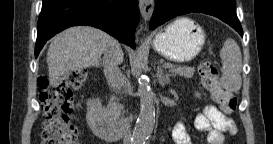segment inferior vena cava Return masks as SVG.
<instances>
[{"label":"inferior vena cava","instance_id":"602c4592","mask_svg":"<svg viewBox=\"0 0 273 144\" xmlns=\"http://www.w3.org/2000/svg\"><path fill=\"white\" fill-rule=\"evenodd\" d=\"M122 59V50L119 43L113 40L110 48L105 52L103 57L104 74L108 84L113 88L121 91L124 86V75L122 74L119 64ZM123 144H131V129L128 121L125 119L122 124Z\"/></svg>","mask_w":273,"mask_h":144}]
</instances>
